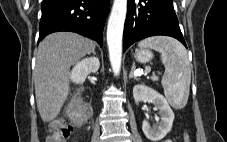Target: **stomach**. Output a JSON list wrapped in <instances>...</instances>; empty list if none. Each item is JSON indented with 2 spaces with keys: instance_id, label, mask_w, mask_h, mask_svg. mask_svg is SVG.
<instances>
[{
  "instance_id": "stomach-1",
  "label": "stomach",
  "mask_w": 227,
  "mask_h": 142,
  "mask_svg": "<svg viewBox=\"0 0 227 142\" xmlns=\"http://www.w3.org/2000/svg\"><path fill=\"white\" fill-rule=\"evenodd\" d=\"M153 57V54L148 49H137L135 52V58L138 62L146 63Z\"/></svg>"
}]
</instances>
